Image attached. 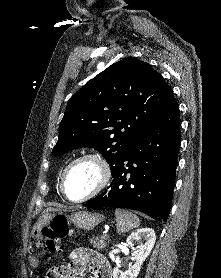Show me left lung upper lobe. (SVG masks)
Wrapping results in <instances>:
<instances>
[{"mask_svg":"<svg viewBox=\"0 0 221 278\" xmlns=\"http://www.w3.org/2000/svg\"><path fill=\"white\" fill-rule=\"evenodd\" d=\"M174 103L171 88L148 63L133 57L120 60L68 101L53 155L94 147L112 172L126 148Z\"/></svg>","mask_w":221,"mask_h":278,"instance_id":"1","label":"left lung upper lobe"}]
</instances>
